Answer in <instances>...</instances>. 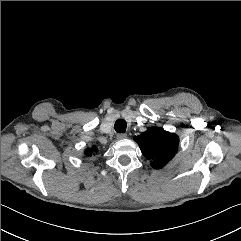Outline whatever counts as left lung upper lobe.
Segmentation results:
<instances>
[{
  "label": "left lung upper lobe",
  "mask_w": 241,
  "mask_h": 241,
  "mask_svg": "<svg viewBox=\"0 0 241 241\" xmlns=\"http://www.w3.org/2000/svg\"><path fill=\"white\" fill-rule=\"evenodd\" d=\"M134 141L155 169L164 167L174 157L179 144L176 134L156 128H149Z\"/></svg>",
  "instance_id": "left-lung-upper-lobe-1"
}]
</instances>
